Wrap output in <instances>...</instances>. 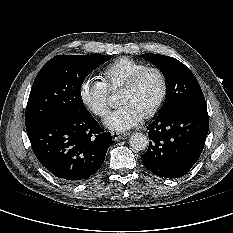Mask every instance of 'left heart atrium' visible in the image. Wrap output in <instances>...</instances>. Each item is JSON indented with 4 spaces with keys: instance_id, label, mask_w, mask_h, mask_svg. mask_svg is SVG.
<instances>
[{
    "instance_id": "39dd6f15",
    "label": "left heart atrium",
    "mask_w": 233,
    "mask_h": 233,
    "mask_svg": "<svg viewBox=\"0 0 233 233\" xmlns=\"http://www.w3.org/2000/svg\"><path fill=\"white\" fill-rule=\"evenodd\" d=\"M143 115L130 104H123L105 119L104 124L117 131H124L137 126Z\"/></svg>"
}]
</instances>
